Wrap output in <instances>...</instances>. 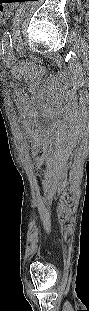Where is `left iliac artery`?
Wrapping results in <instances>:
<instances>
[{"instance_id": "obj_1", "label": "left iliac artery", "mask_w": 89, "mask_h": 311, "mask_svg": "<svg viewBox=\"0 0 89 311\" xmlns=\"http://www.w3.org/2000/svg\"><path fill=\"white\" fill-rule=\"evenodd\" d=\"M2 47L5 50L12 48V38H11V31H6L2 40Z\"/></svg>"}]
</instances>
